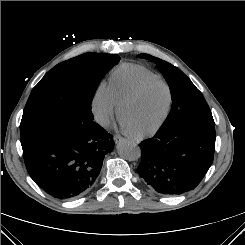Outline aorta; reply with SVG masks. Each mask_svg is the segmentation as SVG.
<instances>
[{
    "instance_id": "762f6f07",
    "label": "aorta",
    "mask_w": 245,
    "mask_h": 245,
    "mask_svg": "<svg viewBox=\"0 0 245 245\" xmlns=\"http://www.w3.org/2000/svg\"><path fill=\"white\" fill-rule=\"evenodd\" d=\"M118 154L129 161H136L141 156L140 147L129 140H122L117 145Z\"/></svg>"
}]
</instances>
